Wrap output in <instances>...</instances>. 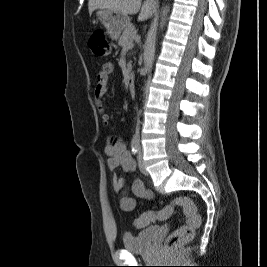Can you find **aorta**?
<instances>
[{"label": "aorta", "instance_id": "obj_1", "mask_svg": "<svg viewBox=\"0 0 267 267\" xmlns=\"http://www.w3.org/2000/svg\"><path fill=\"white\" fill-rule=\"evenodd\" d=\"M169 6H165L163 7V10H162V13H161V21L159 23V28L160 29H163L164 26L166 25V20H167V16H168V13H169ZM146 60L149 61L153 58L154 56V48L152 49H149L147 52H146ZM137 135V134H136Z\"/></svg>", "mask_w": 267, "mask_h": 267}]
</instances>
